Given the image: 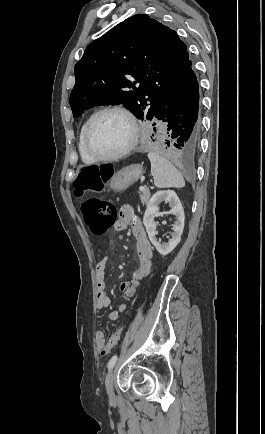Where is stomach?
<instances>
[{"mask_svg": "<svg viewBox=\"0 0 265 434\" xmlns=\"http://www.w3.org/2000/svg\"><path fill=\"white\" fill-rule=\"evenodd\" d=\"M142 172L143 168L141 164H132V166H127V168H122V170L113 174L109 182L110 190H114V192L127 190L129 186H132L134 182L139 180L140 176H142Z\"/></svg>", "mask_w": 265, "mask_h": 434, "instance_id": "obj_1", "label": "stomach"}]
</instances>
